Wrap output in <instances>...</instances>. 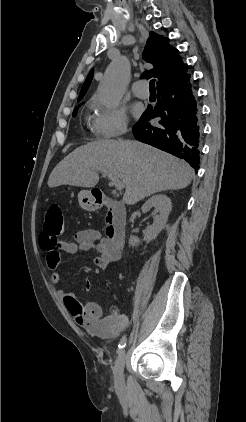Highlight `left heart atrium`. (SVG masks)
I'll list each match as a JSON object with an SVG mask.
<instances>
[{
	"label": "left heart atrium",
	"mask_w": 246,
	"mask_h": 422,
	"mask_svg": "<svg viewBox=\"0 0 246 422\" xmlns=\"http://www.w3.org/2000/svg\"><path fill=\"white\" fill-rule=\"evenodd\" d=\"M138 112V109L137 108H135V113H137Z\"/></svg>",
	"instance_id": "left-heart-atrium-1"
}]
</instances>
